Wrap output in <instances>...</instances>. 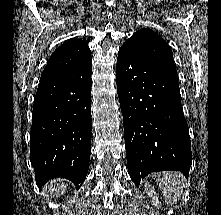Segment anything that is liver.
<instances>
[{
  "label": "liver",
  "instance_id": "obj_1",
  "mask_svg": "<svg viewBox=\"0 0 221 215\" xmlns=\"http://www.w3.org/2000/svg\"><path fill=\"white\" fill-rule=\"evenodd\" d=\"M44 189L50 195L55 194L56 196H59L66 191L65 181L60 179L51 181Z\"/></svg>",
  "mask_w": 221,
  "mask_h": 215
}]
</instances>
